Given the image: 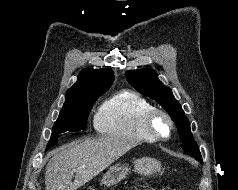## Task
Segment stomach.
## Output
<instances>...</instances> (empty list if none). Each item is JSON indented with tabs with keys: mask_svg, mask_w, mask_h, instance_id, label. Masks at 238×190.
Wrapping results in <instances>:
<instances>
[{
	"mask_svg": "<svg viewBox=\"0 0 238 190\" xmlns=\"http://www.w3.org/2000/svg\"><path fill=\"white\" fill-rule=\"evenodd\" d=\"M134 169L137 173L144 176H151L161 170L158 160L151 157H144L135 161ZM130 168L125 164H115L111 166L103 175L101 184L105 187H112L126 178Z\"/></svg>",
	"mask_w": 238,
	"mask_h": 190,
	"instance_id": "stomach-1",
	"label": "stomach"
}]
</instances>
